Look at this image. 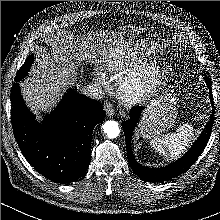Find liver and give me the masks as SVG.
I'll return each instance as SVG.
<instances>
[{
	"label": "liver",
	"instance_id": "liver-1",
	"mask_svg": "<svg viewBox=\"0 0 220 220\" xmlns=\"http://www.w3.org/2000/svg\"><path fill=\"white\" fill-rule=\"evenodd\" d=\"M130 51L122 32L106 30L88 33L87 37L66 36L60 46L53 47L51 55L36 58L30 77L20 83L23 96L35 112L47 111L67 87L77 83L76 72L83 60L88 58L100 65Z\"/></svg>",
	"mask_w": 220,
	"mask_h": 220
}]
</instances>
